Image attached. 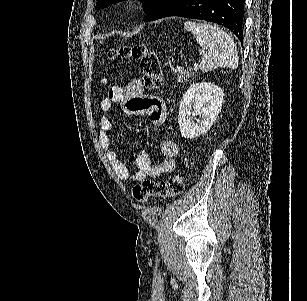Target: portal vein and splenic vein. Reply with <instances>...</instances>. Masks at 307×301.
Returning a JSON list of instances; mask_svg holds the SVG:
<instances>
[{"label": "portal vein and splenic vein", "instance_id": "1", "mask_svg": "<svg viewBox=\"0 0 307 301\" xmlns=\"http://www.w3.org/2000/svg\"><path fill=\"white\" fill-rule=\"evenodd\" d=\"M193 68H198V62H194Z\"/></svg>", "mask_w": 307, "mask_h": 301}]
</instances>
